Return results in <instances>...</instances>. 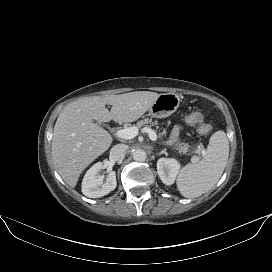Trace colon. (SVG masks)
I'll use <instances>...</instances> for the list:
<instances>
[{"instance_id":"obj_1","label":"colon","mask_w":272,"mask_h":272,"mask_svg":"<svg viewBox=\"0 0 272 272\" xmlns=\"http://www.w3.org/2000/svg\"><path fill=\"white\" fill-rule=\"evenodd\" d=\"M187 122L192 125H198V131L201 135H208L211 127L208 123L204 122V116L200 112H193L187 116Z\"/></svg>"}]
</instances>
